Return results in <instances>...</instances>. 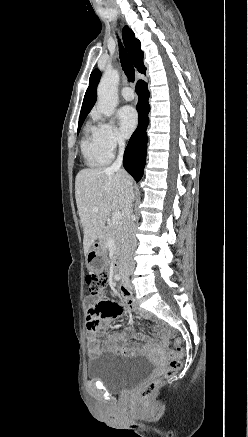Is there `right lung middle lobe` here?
<instances>
[{
	"mask_svg": "<svg viewBox=\"0 0 248 437\" xmlns=\"http://www.w3.org/2000/svg\"><path fill=\"white\" fill-rule=\"evenodd\" d=\"M84 120H85V117H84V118H81V119L79 120L78 132L80 131V128H81L82 123H83Z\"/></svg>",
	"mask_w": 248,
	"mask_h": 437,
	"instance_id": "right-lung-middle-lobe-1",
	"label": "right lung middle lobe"
}]
</instances>
